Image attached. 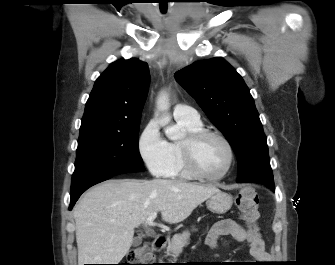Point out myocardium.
<instances>
[{
    "instance_id": "1",
    "label": "myocardium",
    "mask_w": 335,
    "mask_h": 265,
    "mask_svg": "<svg viewBox=\"0 0 335 265\" xmlns=\"http://www.w3.org/2000/svg\"><path fill=\"white\" fill-rule=\"evenodd\" d=\"M209 137H215L222 141L228 150V163L225 169L218 175H207L201 171L196 161V150L202 141ZM181 150L183 161L187 171L194 177L204 181L215 182L223 179L232 169L235 162V151L230 140L220 132L201 129L199 131L188 133L184 140L181 141Z\"/></svg>"
}]
</instances>
